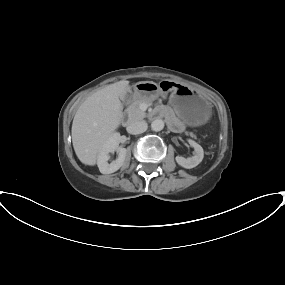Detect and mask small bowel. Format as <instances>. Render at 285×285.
<instances>
[{
    "mask_svg": "<svg viewBox=\"0 0 285 285\" xmlns=\"http://www.w3.org/2000/svg\"><path fill=\"white\" fill-rule=\"evenodd\" d=\"M171 125L175 130H179L180 129V124L178 121H176L175 119L171 120Z\"/></svg>",
    "mask_w": 285,
    "mask_h": 285,
    "instance_id": "small-bowel-1",
    "label": "small bowel"
}]
</instances>
